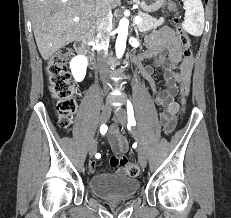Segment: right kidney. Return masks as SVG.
Here are the masks:
<instances>
[{
	"mask_svg": "<svg viewBox=\"0 0 231 218\" xmlns=\"http://www.w3.org/2000/svg\"><path fill=\"white\" fill-rule=\"evenodd\" d=\"M87 58L83 55L74 57L70 62L72 75L77 82H81L86 75Z\"/></svg>",
	"mask_w": 231,
	"mask_h": 218,
	"instance_id": "obj_1",
	"label": "right kidney"
}]
</instances>
